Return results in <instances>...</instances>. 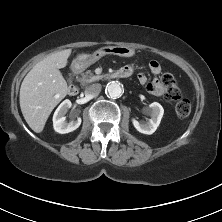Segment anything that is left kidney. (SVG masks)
I'll return each mask as SVG.
<instances>
[{
    "instance_id": "1",
    "label": "left kidney",
    "mask_w": 222,
    "mask_h": 222,
    "mask_svg": "<svg viewBox=\"0 0 222 222\" xmlns=\"http://www.w3.org/2000/svg\"><path fill=\"white\" fill-rule=\"evenodd\" d=\"M149 114L151 119L149 122L140 123L136 119H132V123L137 131L143 134H153L160 124L164 114V109L158 102H153L149 105Z\"/></svg>"
}]
</instances>
